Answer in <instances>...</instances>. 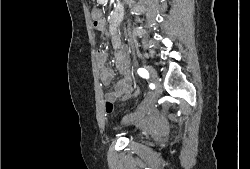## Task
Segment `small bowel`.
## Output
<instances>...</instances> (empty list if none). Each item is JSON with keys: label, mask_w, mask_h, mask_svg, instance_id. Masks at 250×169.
<instances>
[{"label": "small bowel", "mask_w": 250, "mask_h": 169, "mask_svg": "<svg viewBox=\"0 0 250 169\" xmlns=\"http://www.w3.org/2000/svg\"><path fill=\"white\" fill-rule=\"evenodd\" d=\"M118 21L117 16L115 22ZM114 46H118L114 42ZM115 66L120 74V79L113 85V87L106 93L105 98H109L110 95H115L116 101H127L134 97L138 89L133 84L130 75V60L125 50H118L114 53ZM107 53L106 51H100L97 53V61L101 70L102 82L105 85L111 83L114 78V71L106 65Z\"/></svg>", "instance_id": "obj_1"}]
</instances>
